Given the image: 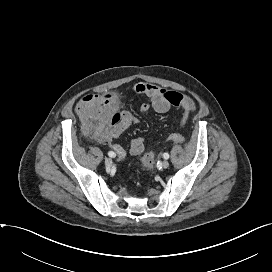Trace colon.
I'll return each mask as SVG.
<instances>
[{"label": "colon", "instance_id": "obj_1", "mask_svg": "<svg viewBox=\"0 0 272 272\" xmlns=\"http://www.w3.org/2000/svg\"><path fill=\"white\" fill-rule=\"evenodd\" d=\"M84 127L97 136L102 135L108 126L118 124L122 120V114L116 110L115 98L112 94L83 96L77 104ZM172 143H183L185 138L178 133L168 136ZM154 162V154L147 153L142 158V165L150 168Z\"/></svg>", "mask_w": 272, "mask_h": 272}]
</instances>
